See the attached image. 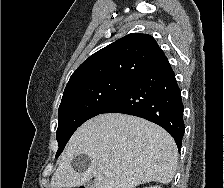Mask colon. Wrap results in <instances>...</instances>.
Instances as JSON below:
<instances>
[{"label":"colon","instance_id":"obj_1","mask_svg":"<svg viewBox=\"0 0 224 188\" xmlns=\"http://www.w3.org/2000/svg\"><path fill=\"white\" fill-rule=\"evenodd\" d=\"M79 188H85V187L81 186V187H79Z\"/></svg>","mask_w":224,"mask_h":188}]
</instances>
